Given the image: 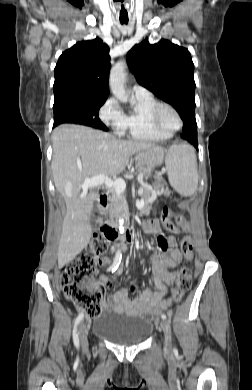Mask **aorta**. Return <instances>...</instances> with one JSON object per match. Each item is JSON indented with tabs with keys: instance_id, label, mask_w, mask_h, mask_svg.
<instances>
[{
	"instance_id": "762f6f07",
	"label": "aorta",
	"mask_w": 252,
	"mask_h": 390,
	"mask_svg": "<svg viewBox=\"0 0 252 390\" xmlns=\"http://www.w3.org/2000/svg\"><path fill=\"white\" fill-rule=\"evenodd\" d=\"M126 64L122 61L116 63L110 71L109 87L113 95L120 100L121 102H127L128 96L125 92V82H126ZM124 219L123 217L119 219V230L121 238L124 239Z\"/></svg>"
}]
</instances>
